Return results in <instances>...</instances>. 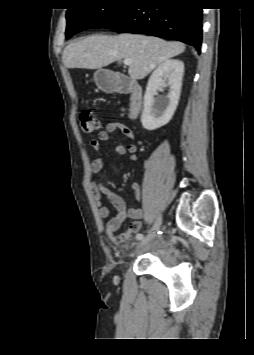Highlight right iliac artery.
<instances>
[{"label": "right iliac artery", "mask_w": 254, "mask_h": 355, "mask_svg": "<svg viewBox=\"0 0 254 355\" xmlns=\"http://www.w3.org/2000/svg\"><path fill=\"white\" fill-rule=\"evenodd\" d=\"M149 233H153V230H151ZM143 234H141V233H138L137 235H136V238L138 239V240H142L143 239Z\"/></svg>", "instance_id": "1"}]
</instances>
